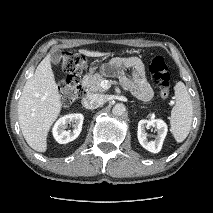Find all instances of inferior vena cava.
I'll return each mask as SVG.
<instances>
[{"mask_svg":"<svg viewBox=\"0 0 213 213\" xmlns=\"http://www.w3.org/2000/svg\"><path fill=\"white\" fill-rule=\"evenodd\" d=\"M106 102L104 95L100 94H88L82 99V105L86 109H96Z\"/></svg>","mask_w":213,"mask_h":213,"instance_id":"602c4592","label":"inferior vena cava"}]
</instances>
